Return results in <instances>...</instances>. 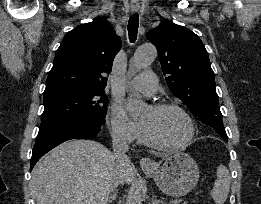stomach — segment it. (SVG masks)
<instances>
[{
    "label": "stomach",
    "mask_w": 261,
    "mask_h": 204,
    "mask_svg": "<svg viewBox=\"0 0 261 204\" xmlns=\"http://www.w3.org/2000/svg\"><path fill=\"white\" fill-rule=\"evenodd\" d=\"M142 169L145 173L153 176L161 191L172 197L187 194L199 180V169L196 162L183 152L168 156L160 167L142 166Z\"/></svg>",
    "instance_id": "stomach-1"
}]
</instances>
